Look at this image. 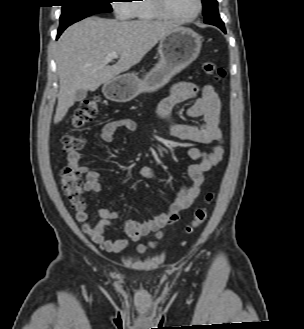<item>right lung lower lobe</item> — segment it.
Instances as JSON below:
<instances>
[{"mask_svg":"<svg viewBox=\"0 0 304 329\" xmlns=\"http://www.w3.org/2000/svg\"><path fill=\"white\" fill-rule=\"evenodd\" d=\"M66 28L63 29H58V34H57V38L60 36V34L65 30Z\"/></svg>","mask_w":304,"mask_h":329,"instance_id":"98d812e1","label":"right lung lower lobe"}]
</instances>
